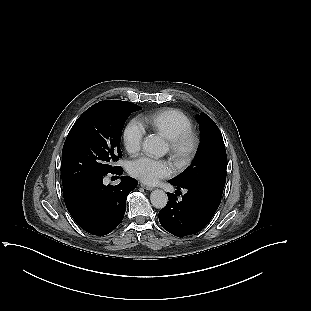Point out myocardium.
<instances>
[{"label": "myocardium", "instance_id": "myocardium-1", "mask_svg": "<svg viewBox=\"0 0 311 311\" xmlns=\"http://www.w3.org/2000/svg\"><path fill=\"white\" fill-rule=\"evenodd\" d=\"M171 157L179 165L188 163L197 148V137L192 130L184 131L168 141Z\"/></svg>", "mask_w": 311, "mask_h": 311}]
</instances>
